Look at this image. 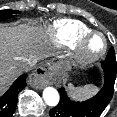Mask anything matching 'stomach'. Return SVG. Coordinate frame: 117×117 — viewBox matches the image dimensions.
Wrapping results in <instances>:
<instances>
[{
    "instance_id": "stomach-1",
    "label": "stomach",
    "mask_w": 117,
    "mask_h": 117,
    "mask_svg": "<svg viewBox=\"0 0 117 117\" xmlns=\"http://www.w3.org/2000/svg\"><path fill=\"white\" fill-rule=\"evenodd\" d=\"M69 67H70L69 64L67 62H64V61H62L56 65L57 70L60 72L69 69Z\"/></svg>"
}]
</instances>
